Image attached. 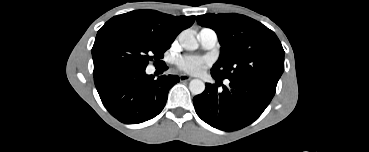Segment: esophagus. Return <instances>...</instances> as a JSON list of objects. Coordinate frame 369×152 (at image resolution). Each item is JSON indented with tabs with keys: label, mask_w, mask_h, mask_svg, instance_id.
Segmentation results:
<instances>
[{
	"label": "esophagus",
	"mask_w": 369,
	"mask_h": 152,
	"mask_svg": "<svg viewBox=\"0 0 369 152\" xmlns=\"http://www.w3.org/2000/svg\"><path fill=\"white\" fill-rule=\"evenodd\" d=\"M179 79H180L181 82H186V81L191 80V77L186 75V74H180Z\"/></svg>",
	"instance_id": "34e87169"
}]
</instances>
